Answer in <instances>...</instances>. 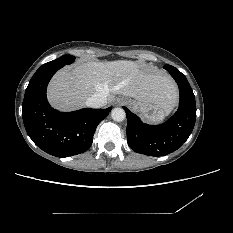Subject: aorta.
<instances>
[{"mask_svg": "<svg viewBox=\"0 0 233 233\" xmlns=\"http://www.w3.org/2000/svg\"><path fill=\"white\" fill-rule=\"evenodd\" d=\"M111 117L114 121L121 122L126 118V113L122 108H114L111 112Z\"/></svg>", "mask_w": 233, "mask_h": 233, "instance_id": "aorta-1", "label": "aorta"}]
</instances>
